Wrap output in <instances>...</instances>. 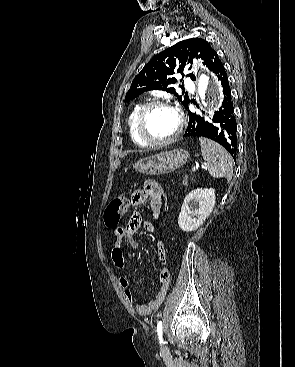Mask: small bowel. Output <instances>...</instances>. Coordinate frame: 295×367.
Returning <instances> with one entry per match:
<instances>
[{
	"mask_svg": "<svg viewBox=\"0 0 295 367\" xmlns=\"http://www.w3.org/2000/svg\"><path fill=\"white\" fill-rule=\"evenodd\" d=\"M165 196L164 190L161 185L154 180H147L144 183L143 188L136 190L132 194V204L135 206L149 202L151 215L154 220H156L161 211L162 200ZM131 216L125 226L118 227L114 232V242L111 250V259L114 266L124 271L128 267V261L123 254V242L124 240L128 243L131 249L135 250L138 247V242L134 238L135 233L143 224L147 231L154 233L155 227L152 222L143 221L139 213L138 208H131ZM155 250L159 263L161 264V269L159 272V289L155 298L147 303H137L136 311L140 315H150L162 304L165 299L167 290L170 284V272L166 267L167 264V254L163 243L156 239ZM119 284L124 291L125 298L129 303L134 302V296L129 289V281L125 277L119 279Z\"/></svg>",
	"mask_w": 295,
	"mask_h": 367,
	"instance_id": "obj_1",
	"label": "small bowel"
}]
</instances>
